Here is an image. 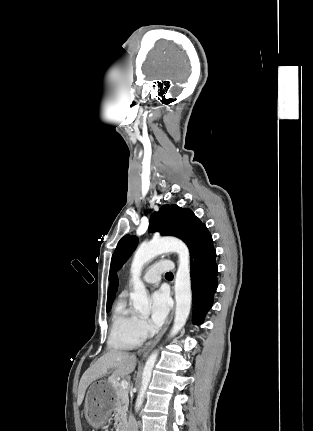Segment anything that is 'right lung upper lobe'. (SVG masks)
Segmentation results:
<instances>
[{
  "instance_id": "1",
  "label": "right lung upper lobe",
  "mask_w": 313,
  "mask_h": 431,
  "mask_svg": "<svg viewBox=\"0 0 313 431\" xmlns=\"http://www.w3.org/2000/svg\"><path fill=\"white\" fill-rule=\"evenodd\" d=\"M111 272L112 271H110V274H111ZM117 289H118V278H117L116 273H114L112 276L109 288H108L107 307L112 305L114 298H115V295H116V292H117Z\"/></svg>"
}]
</instances>
